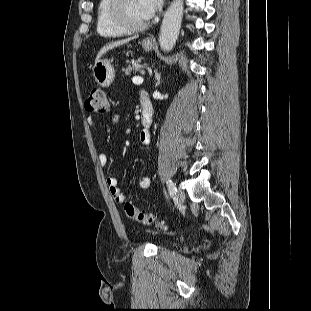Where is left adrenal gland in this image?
<instances>
[{
  "instance_id": "1",
  "label": "left adrenal gland",
  "mask_w": 311,
  "mask_h": 311,
  "mask_svg": "<svg viewBox=\"0 0 311 311\" xmlns=\"http://www.w3.org/2000/svg\"><path fill=\"white\" fill-rule=\"evenodd\" d=\"M154 76L156 80L155 87H157L160 84V73H158L157 70H154Z\"/></svg>"
}]
</instances>
